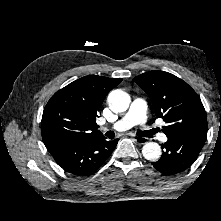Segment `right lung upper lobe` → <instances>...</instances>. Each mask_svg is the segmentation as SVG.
I'll return each mask as SVG.
<instances>
[{
	"instance_id": "cb5924a9",
	"label": "right lung upper lobe",
	"mask_w": 221,
	"mask_h": 221,
	"mask_svg": "<svg viewBox=\"0 0 221 221\" xmlns=\"http://www.w3.org/2000/svg\"><path fill=\"white\" fill-rule=\"evenodd\" d=\"M121 81V78L88 75L57 91L43 111L44 144L102 136L97 130L96 117L106 95Z\"/></svg>"
}]
</instances>
